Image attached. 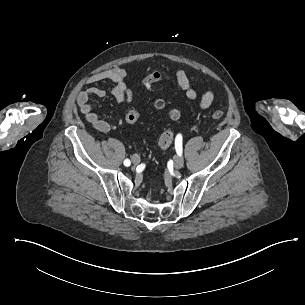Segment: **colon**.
I'll return each mask as SVG.
<instances>
[{"instance_id":"obj_1","label":"colon","mask_w":305,"mask_h":305,"mask_svg":"<svg viewBox=\"0 0 305 305\" xmlns=\"http://www.w3.org/2000/svg\"><path fill=\"white\" fill-rule=\"evenodd\" d=\"M165 78L167 80H172L174 78V73L172 71H167L165 73ZM163 79V74L161 72L151 71L148 77L142 79L141 84L143 87L148 88L154 83L161 81ZM178 80V77H175ZM153 109L156 111H164L168 114L171 120H177L179 118V112L176 109L168 108L164 101L158 100L153 103ZM224 112L221 110H216L212 113L214 119H221ZM140 112L138 110H131L125 115V122L128 124H135L139 121ZM174 133L172 131L163 132L158 139V146L161 149H166L173 144Z\"/></svg>"}]
</instances>
